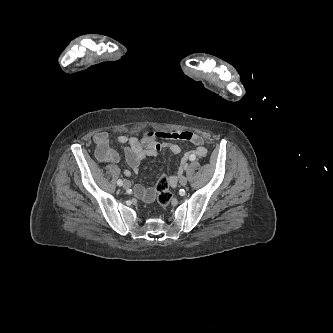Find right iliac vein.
<instances>
[{
    "label": "right iliac vein",
    "mask_w": 333,
    "mask_h": 333,
    "mask_svg": "<svg viewBox=\"0 0 333 333\" xmlns=\"http://www.w3.org/2000/svg\"><path fill=\"white\" fill-rule=\"evenodd\" d=\"M123 187L125 189H129L131 187V183L129 181H125L124 184H123Z\"/></svg>",
    "instance_id": "63e3f726"
}]
</instances>
